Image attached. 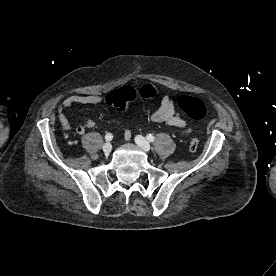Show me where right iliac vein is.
I'll use <instances>...</instances> for the list:
<instances>
[{
  "instance_id": "63e3f726",
  "label": "right iliac vein",
  "mask_w": 276,
  "mask_h": 276,
  "mask_svg": "<svg viewBox=\"0 0 276 276\" xmlns=\"http://www.w3.org/2000/svg\"><path fill=\"white\" fill-rule=\"evenodd\" d=\"M102 149L105 154H109L112 150V145L110 143H105Z\"/></svg>"
}]
</instances>
